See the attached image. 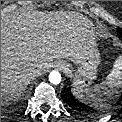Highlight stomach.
Returning a JSON list of instances; mask_svg holds the SVG:
<instances>
[{
    "mask_svg": "<svg viewBox=\"0 0 122 122\" xmlns=\"http://www.w3.org/2000/svg\"><path fill=\"white\" fill-rule=\"evenodd\" d=\"M100 63V56L97 49L89 51L83 59L77 63L76 72L70 70V74L73 76V85H79L87 87L96 78L97 67ZM69 68L70 65L67 64Z\"/></svg>",
    "mask_w": 122,
    "mask_h": 122,
    "instance_id": "stomach-1",
    "label": "stomach"
}]
</instances>
